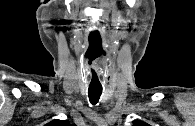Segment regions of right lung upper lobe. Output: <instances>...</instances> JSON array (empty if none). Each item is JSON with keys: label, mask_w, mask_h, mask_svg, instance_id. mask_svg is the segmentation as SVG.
I'll return each instance as SVG.
<instances>
[{"label": "right lung upper lobe", "mask_w": 195, "mask_h": 126, "mask_svg": "<svg viewBox=\"0 0 195 126\" xmlns=\"http://www.w3.org/2000/svg\"><path fill=\"white\" fill-rule=\"evenodd\" d=\"M45 126H73L70 125L68 121L65 120H53L46 124Z\"/></svg>", "instance_id": "obj_1"}]
</instances>
